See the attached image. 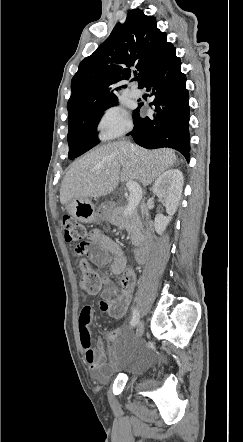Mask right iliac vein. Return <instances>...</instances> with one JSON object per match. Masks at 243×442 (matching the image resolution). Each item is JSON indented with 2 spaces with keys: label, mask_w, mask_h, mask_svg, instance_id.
<instances>
[{
  "label": "right iliac vein",
  "mask_w": 243,
  "mask_h": 442,
  "mask_svg": "<svg viewBox=\"0 0 243 442\" xmlns=\"http://www.w3.org/2000/svg\"><path fill=\"white\" fill-rule=\"evenodd\" d=\"M144 331V324L142 321H140L136 327L134 338L135 340H139L143 334Z\"/></svg>",
  "instance_id": "obj_1"
}]
</instances>
